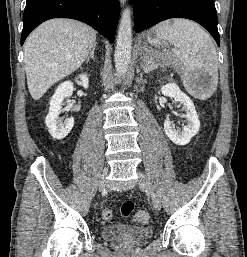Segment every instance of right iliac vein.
I'll use <instances>...</instances> for the list:
<instances>
[{
    "label": "right iliac vein",
    "mask_w": 247,
    "mask_h": 257,
    "mask_svg": "<svg viewBox=\"0 0 247 257\" xmlns=\"http://www.w3.org/2000/svg\"><path fill=\"white\" fill-rule=\"evenodd\" d=\"M107 172H108V169L105 168V169H104V174H103L102 180H101V182H100V187H101V188H104V185H105L104 177H105V175L107 174Z\"/></svg>",
    "instance_id": "right-iliac-vein-1"
}]
</instances>
